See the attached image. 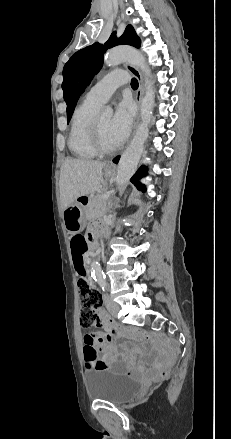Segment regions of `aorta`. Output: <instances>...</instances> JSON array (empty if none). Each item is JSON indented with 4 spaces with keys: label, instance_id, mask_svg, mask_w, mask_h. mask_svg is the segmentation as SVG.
Returning <instances> with one entry per match:
<instances>
[{
    "label": "aorta",
    "instance_id": "aorta-1",
    "mask_svg": "<svg viewBox=\"0 0 231 439\" xmlns=\"http://www.w3.org/2000/svg\"><path fill=\"white\" fill-rule=\"evenodd\" d=\"M131 62L138 66L145 76V94L141 102V122L137 127L136 133L126 151L123 153L117 170L116 182L118 185H124L134 174L139 160L144 150L145 141L149 135V124L153 114L155 104V94L153 90V81L151 69L146 64V59L142 53L131 47H117L110 50L105 57L107 66H116L121 62ZM113 111L107 107L106 115H112ZM91 271L97 278L102 277L100 263L93 260L91 263Z\"/></svg>",
    "mask_w": 231,
    "mask_h": 439
}]
</instances>
